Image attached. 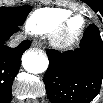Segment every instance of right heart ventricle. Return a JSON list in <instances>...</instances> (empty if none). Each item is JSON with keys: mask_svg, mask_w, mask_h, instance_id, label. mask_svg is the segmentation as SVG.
<instances>
[{"mask_svg": "<svg viewBox=\"0 0 103 103\" xmlns=\"http://www.w3.org/2000/svg\"><path fill=\"white\" fill-rule=\"evenodd\" d=\"M70 14V10L59 7L37 9L27 21V30L37 35L50 33Z\"/></svg>", "mask_w": 103, "mask_h": 103, "instance_id": "right-heart-ventricle-1", "label": "right heart ventricle"}]
</instances>
